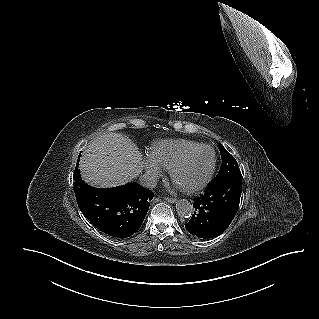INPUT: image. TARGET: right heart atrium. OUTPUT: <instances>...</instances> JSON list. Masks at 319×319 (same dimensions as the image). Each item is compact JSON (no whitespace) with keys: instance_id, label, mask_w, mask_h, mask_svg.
Listing matches in <instances>:
<instances>
[{"instance_id":"1","label":"right heart atrium","mask_w":319,"mask_h":319,"mask_svg":"<svg viewBox=\"0 0 319 319\" xmlns=\"http://www.w3.org/2000/svg\"><path fill=\"white\" fill-rule=\"evenodd\" d=\"M146 175L150 182H154L163 175V168L155 163L150 157L144 160Z\"/></svg>"}]
</instances>
